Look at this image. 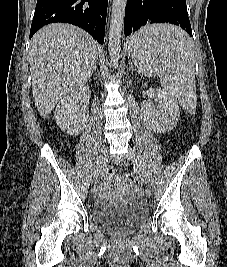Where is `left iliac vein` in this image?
Here are the masks:
<instances>
[{
	"label": "left iliac vein",
	"instance_id": "left-iliac-vein-1",
	"mask_svg": "<svg viewBox=\"0 0 227 267\" xmlns=\"http://www.w3.org/2000/svg\"><path fill=\"white\" fill-rule=\"evenodd\" d=\"M127 157L134 165V167L137 171V174H138L139 178L141 179V181L145 185L148 186L150 181H149L148 175L146 173V169H145L144 165L142 164V161H141L140 157L138 156V154L133 149H130V152L128 153Z\"/></svg>",
	"mask_w": 227,
	"mask_h": 267
}]
</instances>
